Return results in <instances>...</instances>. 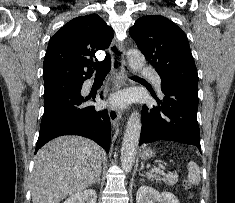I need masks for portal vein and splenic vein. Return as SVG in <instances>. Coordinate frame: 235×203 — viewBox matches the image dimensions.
<instances>
[{
    "instance_id": "obj_1",
    "label": "portal vein and splenic vein",
    "mask_w": 235,
    "mask_h": 203,
    "mask_svg": "<svg viewBox=\"0 0 235 203\" xmlns=\"http://www.w3.org/2000/svg\"><path fill=\"white\" fill-rule=\"evenodd\" d=\"M152 171H160V168H154V169H152ZM166 176H167V177H172V176H173V173L168 172V174H167Z\"/></svg>"
}]
</instances>
